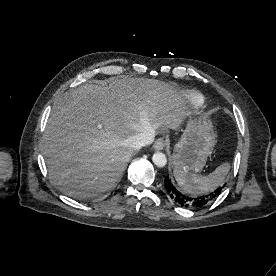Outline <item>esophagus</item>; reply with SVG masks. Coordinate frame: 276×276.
Instances as JSON below:
<instances>
[{"label": "esophagus", "instance_id": "obj_1", "mask_svg": "<svg viewBox=\"0 0 276 276\" xmlns=\"http://www.w3.org/2000/svg\"><path fill=\"white\" fill-rule=\"evenodd\" d=\"M166 146V143L163 138H159L156 140V142L153 145V148L157 151L163 150Z\"/></svg>", "mask_w": 276, "mask_h": 276}]
</instances>
